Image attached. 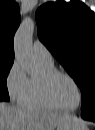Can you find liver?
I'll return each mask as SVG.
<instances>
[{
  "mask_svg": "<svg viewBox=\"0 0 95 130\" xmlns=\"http://www.w3.org/2000/svg\"><path fill=\"white\" fill-rule=\"evenodd\" d=\"M71 118L75 117L0 104V130H55L59 123Z\"/></svg>",
  "mask_w": 95,
  "mask_h": 130,
  "instance_id": "1",
  "label": "liver"
}]
</instances>
